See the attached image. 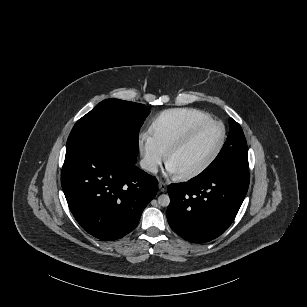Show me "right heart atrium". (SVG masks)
<instances>
[{"label":"right heart atrium","mask_w":307,"mask_h":307,"mask_svg":"<svg viewBox=\"0 0 307 307\" xmlns=\"http://www.w3.org/2000/svg\"><path fill=\"white\" fill-rule=\"evenodd\" d=\"M138 149L142 166L149 173H156L164 160V152L152 138L145 134L139 135Z\"/></svg>","instance_id":"right-heart-atrium-1"}]
</instances>
